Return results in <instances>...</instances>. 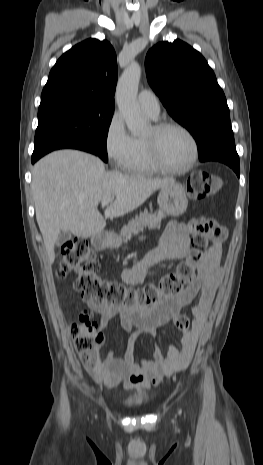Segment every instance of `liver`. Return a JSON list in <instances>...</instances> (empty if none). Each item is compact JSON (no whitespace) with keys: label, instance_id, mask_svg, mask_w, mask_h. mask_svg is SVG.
<instances>
[{"label":"liver","instance_id":"6515ba94","mask_svg":"<svg viewBox=\"0 0 263 465\" xmlns=\"http://www.w3.org/2000/svg\"><path fill=\"white\" fill-rule=\"evenodd\" d=\"M173 183L174 179L107 172L99 158L81 151L61 150L43 157L32 171V191L50 264L61 232L95 236L105 228V218L135 210L156 190ZM106 198L115 200L105 209L104 218L97 207Z\"/></svg>","mask_w":263,"mask_h":465}]
</instances>
